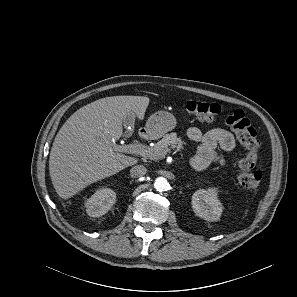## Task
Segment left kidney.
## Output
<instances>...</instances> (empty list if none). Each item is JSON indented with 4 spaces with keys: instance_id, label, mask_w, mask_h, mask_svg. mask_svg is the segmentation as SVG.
Masks as SVG:
<instances>
[{
    "instance_id": "left-kidney-1",
    "label": "left kidney",
    "mask_w": 297,
    "mask_h": 297,
    "mask_svg": "<svg viewBox=\"0 0 297 297\" xmlns=\"http://www.w3.org/2000/svg\"><path fill=\"white\" fill-rule=\"evenodd\" d=\"M192 208L195 214L207 221H216L223 211L218 200L217 188L199 189L192 196Z\"/></svg>"
}]
</instances>
